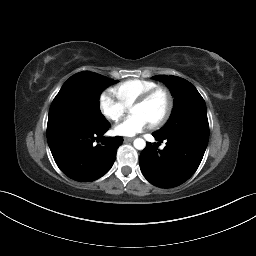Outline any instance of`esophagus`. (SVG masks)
<instances>
[{
  "label": "esophagus",
  "mask_w": 256,
  "mask_h": 256,
  "mask_svg": "<svg viewBox=\"0 0 256 256\" xmlns=\"http://www.w3.org/2000/svg\"><path fill=\"white\" fill-rule=\"evenodd\" d=\"M133 140H134L133 137H125V138H124V142H131V141H133Z\"/></svg>",
  "instance_id": "esophagus-1"
}]
</instances>
